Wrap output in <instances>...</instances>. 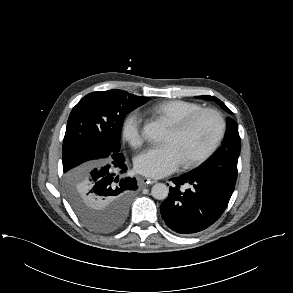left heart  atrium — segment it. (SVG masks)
<instances>
[{
    "label": "left heart atrium",
    "instance_id": "1",
    "mask_svg": "<svg viewBox=\"0 0 293 293\" xmlns=\"http://www.w3.org/2000/svg\"><path fill=\"white\" fill-rule=\"evenodd\" d=\"M178 149L172 145L150 147L137 155L134 166L140 174L161 178L176 171L183 163Z\"/></svg>",
    "mask_w": 293,
    "mask_h": 293
}]
</instances>
